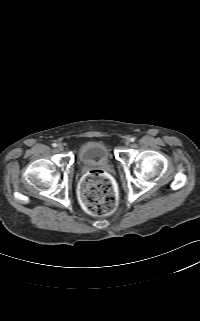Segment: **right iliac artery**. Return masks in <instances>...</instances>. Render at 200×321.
<instances>
[{
	"mask_svg": "<svg viewBox=\"0 0 200 321\" xmlns=\"http://www.w3.org/2000/svg\"><path fill=\"white\" fill-rule=\"evenodd\" d=\"M52 146H53V147H57V144H56V143H53Z\"/></svg>",
	"mask_w": 200,
	"mask_h": 321,
	"instance_id": "obj_1",
	"label": "right iliac artery"
}]
</instances>
